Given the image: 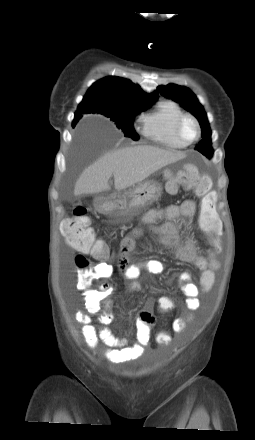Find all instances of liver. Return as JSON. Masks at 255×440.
<instances>
[{
  "instance_id": "6515ba94",
  "label": "liver",
  "mask_w": 255,
  "mask_h": 440,
  "mask_svg": "<svg viewBox=\"0 0 255 440\" xmlns=\"http://www.w3.org/2000/svg\"><path fill=\"white\" fill-rule=\"evenodd\" d=\"M182 152L153 146H135L106 152L87 167L75 183L74 195L98 194L109 191L114 176L117 191L140 183L162 167L184 158Z\"/></svg>"
}]
</instances>
